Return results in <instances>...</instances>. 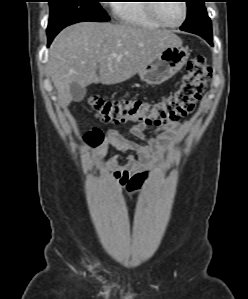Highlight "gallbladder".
Wrapping results in <instances>:
<instances>
[{"instance_id": "bac80fb5", "label": "gallbladder", "mask_w": 248, "mask_h": 299, "mask_svg": "<svg viewBox=\"0 0 248 299\" xmlns=\"http://www.w3.org/2000/svg\"><path fill=\"white\" fill-rule=\"evenodd\" d=\"M86 92V88L81 87L77 83H72L70 85V93L74 102H81L84 99Z\"/></svg>"}]
</instances>
